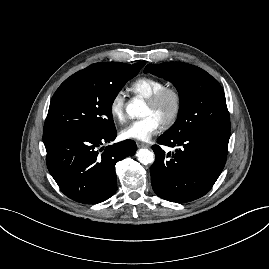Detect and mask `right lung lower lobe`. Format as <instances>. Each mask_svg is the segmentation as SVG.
<instances>
[{
    "label": "right lung lower lobe",
    "instance_id": "98d812e1",
    "mask_svg": "<svg viewBox=\"0 0 269 269\" xmlns=\"http://www.w3.org/2000/svg\"><path fill=\"white\" fill-rule=\"evenodd\" d=\"M116 135V129L101 135L77 129L44 132L48 170L67 197L97 204L116 192L115 164L136 151L132 140L101 147Z\"/></svg>",
    "mask_w": 269,
    "mask_h": 269
}]
</instances>
